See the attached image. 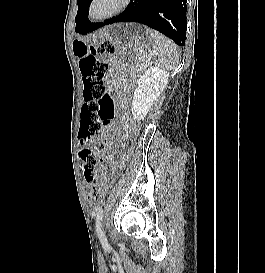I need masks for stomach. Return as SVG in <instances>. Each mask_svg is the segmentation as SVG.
I'll list each match as a JSON object with an SVG mask.
<instances>
[{"label": "stomach", "instance_id": "1", "mask_svg": "<svg viewBox=\"0 0 265 273\" xmlns=\"http://www.w3.org/2000/svg\"><path fill=\"white\" fill-rule=\"evenodd\" d=\"M102 40H124V45L139 46V41L145 40V35H152V30H147V25H106V30H101ZM86 43L75 40L73 48L76 54H80Z\"/></svg>", "mask_w": 265, "mask_h": 273}]
</instances>
